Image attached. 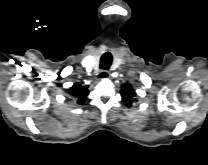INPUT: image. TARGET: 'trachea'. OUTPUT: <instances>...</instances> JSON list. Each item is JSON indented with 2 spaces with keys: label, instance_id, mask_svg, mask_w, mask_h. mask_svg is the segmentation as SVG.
<instances>
[{
  "label": "trachea",
  "instance_id": "1",
  "mask_svg": "<svg viewBox=\"0 0 208 165\" xmlns=\"http://www.w3.org/2000/svg\"><path fill=\"white\" fill-rule=\"evenodd\" d=\"M112 62L111 55L109 53H106L102 56L101 61H100V68L107 70Z\"/></svg>",
  "mask_w": 208,
  "mask_h": 165
}]
</instances>
